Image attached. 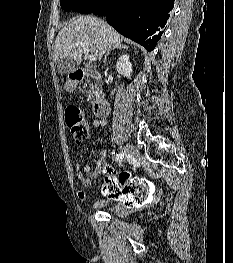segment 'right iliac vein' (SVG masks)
<instances>
[{
  "label": "right iliac vein",
  "instance_id": "right-iliac-vein-1",
  "mask_svg": "<svg viewBox=\"0 0 233 263\" xmlns=\"http://www.w3.org/2000/svg\"><path fill=\"white\" fill-rule=\"evenodd\" d=\"M124 152L129 156H136L138 153L137 149L132 145H126L124 147Z\"/></svg>",
  "mask_w": 233,
  "mask_h": 263
}]
</instances>
